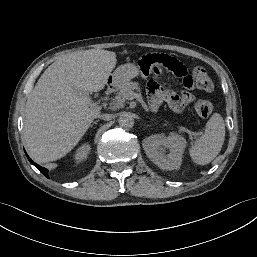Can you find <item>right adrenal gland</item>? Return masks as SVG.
Here are the masks:
<instances>
[{
  "label": "right adrenal gland",
  "mask_w": 257,
  "mask_h": 257,
  "mask_svg": "<svg viewBox=\"0 0 257 257\" xmlns=\"http://www.w3.org/2000/svg\"><path fill=\"white\" fill-rule=\"evenodd\" d=\"M99 120H96L94 122H92V124L90 125V127H93L94 124H97Z\"/></svg>",
  "instance_id": "2a0ac1e0"
}]
</instances>
